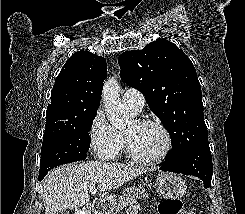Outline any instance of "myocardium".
<instances>
[{"label":"myocardium","mask_w":245,"mask_h":214,"mask_svg":"<svg viewBox=\"0 0 245 214\" xmlns=\"http://www.w3.org/2000/svg\"><path fill=\"white\" fill-rule=\"evenodd\" d=\"M134 122L138 126H155V127L159 128L162 131V133L164 134L165 146H164L163 150L158 155H156L155 157H150V158L143 157V156L137 154L133 150L129 140L123 134V142H124L125 149H126L128 156L136 162H139L142 164H147V165L155 164V163H158L161 160H163L168 155V153L171 151L172 145H173L172 136H171L169 130L167 129V127L163 123H161L160 121L152 120V119H138V120H135Z\"/></svg>","instance_id":"f54148a6"}]
</instances>
